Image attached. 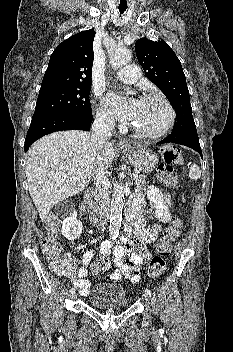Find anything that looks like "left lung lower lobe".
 <instances>
[{"label":"left lung lower lobe","mask_w":233,"mask_h":352,"mask_svg":"<svg viewBox=\"0 0 233 352\" xmlns=\"http://www.w3.org/2000/svg\"><path fill=\"white\" fill-rule=\"evenodd\" d=\"M163 143H176L180 145H185L197 151L203 158L198 136L178 138L170 134L165 139L158 142V144H163Z\"/></svg>","instance_id":"left-lung-lower-lobe-1"}]
</instances>
